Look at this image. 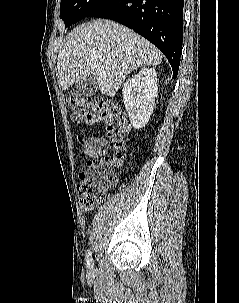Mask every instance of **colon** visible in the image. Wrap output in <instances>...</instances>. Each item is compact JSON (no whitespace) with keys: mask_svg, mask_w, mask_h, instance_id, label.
<instances>
[{"mask_svg":"<svg viewBox=\"0 0 239 303\" xmlns=\"http://www.w3.org/2000/svg\"><path fill=\"white\" fill-rule=\"evenodd\" d=\"M67 101L74 121L105 125L114 151L110 156L88 161L79 175L80 202L85 206H96L104 202L116 182L115 171L123 161L130 124L119 107L101 98L91 99L79 92H70Z\"/></svg>","mask_w":239,"mask_h":303,"instance_id":"obj_1","label":"colon"}]
</instances>
